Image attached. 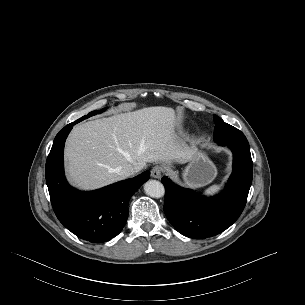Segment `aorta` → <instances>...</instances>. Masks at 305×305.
<instances>
[{"mask_svg":"<svg viewBox=\"0 0 305 305\" xmlns=\"http://www.w3.org/2000/svg\"><path fill=\"white\" fill-rule=\"evenodd\" d=\"M144 191L147 195L154 198H160L165 193L163 184L157 180H148L144 184Z\"/></svg>","mask_w":305,"mask_h":305,"instance_id":"1","label":"aorta"}]
</instances>
